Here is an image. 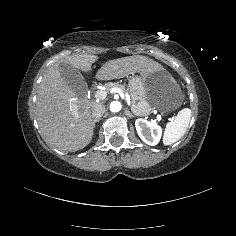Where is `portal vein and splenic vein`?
I'll return each instance as SVG.
<instances>
[{"mask_svg": "<svg viewBox=\"0 0 236 236\" xmlns=\"http://www.w3.org/2000/svg\"><path fill=\"white\" fill-rule=\"evenodd\" d=\"M111 92L118 93L122 99L125 98V95H124V93L122 92V90L120 88H112ZM106 96H107V93H106V91H103V90H98L95 93V97L97 98V100L105 99ZM70 110H71V113L73 115L74 120L77 121L78 118H79L77 106L76 105H70ZM157 119L161 120V115H157ZM171 119H174V116H171ZM166 120H169V117H166ZM71 126L74 127L75 124L73 123V124H71Z\"/></svg>", "mask_w": 236, "mask_h": 236, "instance_id": "portal-vein-and-splenic-vein-1", "label": "portal vein and splenic vein"}]
</instances>
